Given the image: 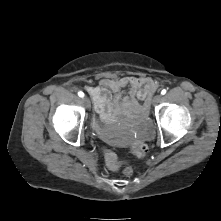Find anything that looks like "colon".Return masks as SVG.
Wrapping results in <instances>:
<instances>
[{
    "label": "colon",
    "instance_id": "colon-1",
    "mask_svg": "<svg viewBox=\"0 0 221 221\" xmlns=\"http://www.w3.org/2000/svg\"><path fill=\"white\" fill-rule=\"evenodd\" d=\"M146 152H147V145L143 142H137L133 147V153L137 157L144 156L146 154ZM105 161H106L107 166L111 170H115L119 167V163H118L116 155L109 150L105 151ZM123 173L126 176H131L133 174V168L130 165L126 164V165H124Z\"/></svg>",
    "mask_w": 221,
    "mask_h": 221
}]
</instances>
